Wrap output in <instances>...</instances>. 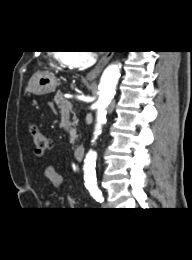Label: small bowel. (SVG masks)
Returning a JSON list of instances; mask_svg holds the SVG:
<instances>
[{
	"mask_svg": "<svg viewBox=\"0 0 192 260\" xmlns=\"http://www.w3.org/2000/svg\"><path fill=\"white\" fill-rule=\"evenodd\" d=\"M44 177L46 181L51 184L53 187L58 188L62 185V176L54 166H48L44 172ZM46 207H50L51 202L49 200H45L44 202Z\"/></svg>",
	"mask_w": 192,
	"mask_h": 260,
	"instance_id": "c3829d8e",
	"label": "small bowel"
}]
</instances>
